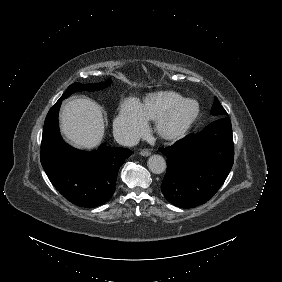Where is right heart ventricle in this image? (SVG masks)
Returning <instances> with one entry per match:
<instances>
[{"mask_svg": "<svg viewBox=\"0 0 282 282\" xmlns=\"http://www.w3.org/2000/svg\"><path fill=\"white\" fill-rule=\"evenodd\" d=\"M181 99L182 97L178 94L172 92H160L148 96L141 105V109L146 118L158 120L163 112Z\"/></svg>", "mask_w": 282, "mask_h": 282, "instance_id": "obj_1", "label": "right heart ventricle"}]
</instances>
